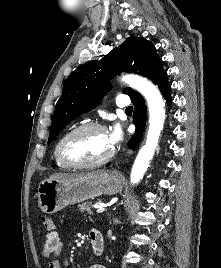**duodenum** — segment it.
<instances>
[{
    "instance_id": "1",
    "label": "duodenum",
    "mask_w": 221,
    "mask_h": 268,
    "mask_svg": "<svg viewBox=\"0 0 221 268\" xmlns=\"http://www.w3.org/2000/svg\"><path fill=\"white\" fill-rule=\"evenodd\" d=\"M92 250L95 255H101L104 251L105 242L102 233L98 230H92L90 233Z\"/></svg>"
}]
</instances>
